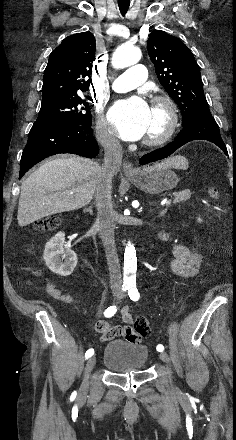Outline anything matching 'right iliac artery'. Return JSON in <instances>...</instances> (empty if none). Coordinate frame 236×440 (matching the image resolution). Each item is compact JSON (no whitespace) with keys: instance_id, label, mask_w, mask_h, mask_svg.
I'll use <instances>...</instances> for the list:
<instances>
[{"instance_id":"right-iliac-artery-1","label":"right iliac artery","mask_w":236,"mask_h":440,"mask_svg":"<svg viewBox=\"0 0 236 440\" xmlns=\"http://www.w3.org/2000/svg\"><path fill=\"white\" fill-rule=\"evenodd\" d=\"M128 289V287H123V291H126ZM117 311V307L115 305L108 307L105 311H104V316L107 318H110L112 316H114V314ZM94 354V350L93 349H89L86 351L85 353V359L90 358L92 355Z\"/></svg>"}]
</instances>
